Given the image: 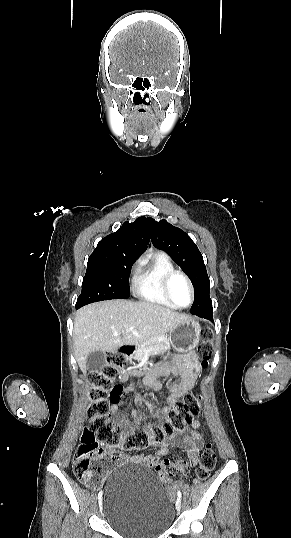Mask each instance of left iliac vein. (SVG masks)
<instances>
[{
  "mask_svg": "<svg viewBox=\"0 0 291 538\" xmlns=\"http://www.w3.org/2000/svg\"><path fill=\"white\" fill-rule=\"evenodd\" d=\"M176 509L179 511L181 509V500L178 498L176 501Z\"/></svg>",
  "mask_w": 291,
  "mask_h": 538,
  "instance_id": "4c4485c4",
  "label": "left iliac vein"
}]
</instances>
